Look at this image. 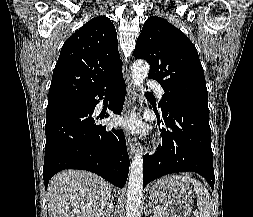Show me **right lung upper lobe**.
<instances>
[{
    "label": "right lung upper lobe",
    "instance_id": "cb5924a9",
    "mask_svg": "<svg viewBox=\"0 0 253 217\" xmlns=\"http://www.w3.org/2000/svg\"><path fill=\"white\" fill-rule=\"evenodd\" d=\"M122 73L117 34L109 18L91 19L62 46L48 103L86 96Z\"/></svg>",
    "mask_w": 253,
    "mask_h": 217
}]
</instances>
